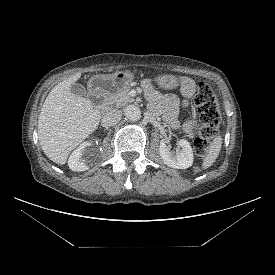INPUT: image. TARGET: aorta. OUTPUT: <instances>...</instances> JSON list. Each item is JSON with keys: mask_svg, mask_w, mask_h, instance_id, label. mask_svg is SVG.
Segmentation results:
<instances>
[{"mask_svg": "<svg viewBox=\"0 0 275 275\" xmlns=\"http://www.w3.org/2000/svg\"><path fill=\"white\" fill-rule=\"evenodd\" d=\"M124 114L131 121H137L141 118V111L135 105H128L124 109Z\"/></svg>", "mask_w": 275, "mask_h": 275, "instance_id": "1", "label": "aorta"}]
</instances>
